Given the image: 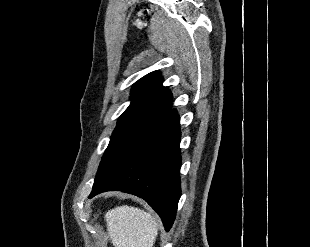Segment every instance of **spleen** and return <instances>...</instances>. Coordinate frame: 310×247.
Masks as SVG:
<instances>
[{
  "mask_svg": "<svg viewBox=\"0 0 310 247\" xmlns=\"http://www.w3.org/2000/svg\"><path fill=\"white\" fill-rule=\"evenodd\" d=\"M105 220L114 247H153L158 224L150 213L125 205L109 210Z\"/></svg>",
  "mask_w": 310,
  "mask_h": 247,
  "instance_id": "spleen-1",
  "label": "spleen"
}]
</instances>
